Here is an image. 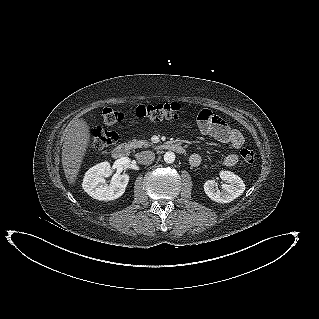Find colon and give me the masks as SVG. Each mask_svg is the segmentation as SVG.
Returning a JSON list of instances; mask_svg holds the SVG:
<instances>
[{
	"label": "colon",
	"instance_id": "1",
	"mask_svg": "<svg viewBox=\"0 0 319 319\" xmlns=\"http://www.w3.org/2000/svg\"><path fill=\"white\" fill-rule=\"evenodd\" d=\"M181 106L178 103L151 104L140 105L131 113V119H178L180 117ZM206 112L199 113L198 118H202ZM103 122L106 126H113L126 120L125 114L114 109L104 108L102 112ZM117 140V135L113 131H108L104 128H96L92 131L90 138V147L95 150H104L114 144ZM241 157L247 163L255 161V153L249 148L241 150Z\"/></svg>",
	"mask_w": 319,
	"mask_h": 319
}]
</instances>
